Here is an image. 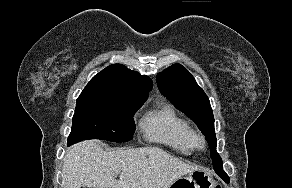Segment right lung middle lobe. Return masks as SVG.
Instances as JSON below:
<instances>
[{
	"instance_id": "dd1d6c3e",
	"label": "right lung middle lobe",
	"mask_w": 292,
	"mask_h": 188,
	"mask_svg": "<svg viewBox=\"0 0 292 188\" xmlns=\"http://www.w3.org/2000/svg\"><path fill=\"white\" fill-rule=\"evenodd\" d=\"M146 99L103 87H85L77 99L68 145L86 139L127 142L133 138V116Z\"/></svg>"
}]
</instances>
